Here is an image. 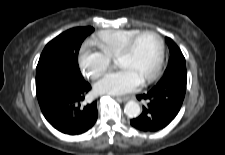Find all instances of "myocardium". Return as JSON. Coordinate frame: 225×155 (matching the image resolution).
I'll return each instance as SVG.
<instances>
[{"label":"myocardium","mask_w":225,"mask_h":155,"mask_svg":"<svg viewBox=\"0 0 225 155\" xmlns=\"http://www.w3.org/2000/svg\"><path fill=\"white\" fill-rule=\"evenodd\" d=\"M145 35H152L154 36L158 42H159V56H158V60H157V64L154 68V70L152 71V73L150 75H148L143 81V84H147L150 83L151 81H153L154 79H156V77L159 75L163 63H164V58H165V42L163 40V38L155 31L152 30H144V31H140L139 33L135 34L134 36H132L123 46V48L121 49V51L118 53L116 60H119L127 55H129L136 42L143 36Z\"/></svg>","instance_id":"f54148a6"}]
</instances>
